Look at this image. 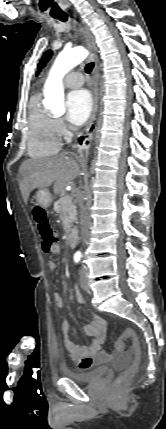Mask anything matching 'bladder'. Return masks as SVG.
<instances>
[{"label": "bladder", "instance_id": "1", "mask_svg": "<svg viewBox=\"0 0 166 429\" xmlns=\"http://www.w3.org/2000/svg\"><path fill=\"white\" fill-rule=\"evenodd\" d=\"M108 372V366H100L88 372H78L75 370H65L64 374L77 383H90L101 379Z\"/></svg>", "mask_w": 166, "mask_h": 429}]
</instances>
